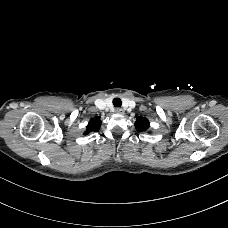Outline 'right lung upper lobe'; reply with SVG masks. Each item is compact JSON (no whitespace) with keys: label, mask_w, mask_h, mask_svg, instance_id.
<instances>
[{"label":"right lung upper lobe","mask_w":228,"mask_h":228,"mask_svg":"<svg viewBox=\"0 0 228 228\" xmlns=\"http://www.w3.org/2000/svg\"><path fill=\"white\" fill-rule=\"evenodd\" d=\"M101 126V120L99 118H93L90 120L89 124L87 125V130L85 134H88L89 132H96L99 130Z\"/></svg>","instance_id":"right-lung-upper-lobe-1"}]
</instances>
